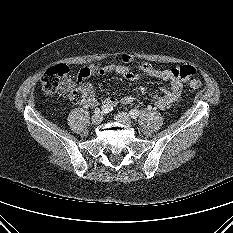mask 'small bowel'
<instances>
[{
  "label": "small bowel",
  "mask_w": 233,
  "mask_h": 233,
  "mask_svg": "<svg viewBox=\"0 0 233 233\" xmlns=\"http://www.w3.org/2000/svg\"><path fill=\"white\" fill-rule=\"evenodd\" d=\"M174 69H161L156 68L149 62H142L136 64L135 59L130 54L122 55L119 63L110 64H91L80 70L77 85L82 92L84 99L83 103L86 106L93 107L99 103V99L96 96L95 90L92 85L87 81L92 76H104L108 73H116L126 79L127 81H136L142 76H150L164 80L169 83L168 87H162L161 93L154 95L155 104L159 109L169 108L180 96L183 88L184 81L175 75ZM142 93L146 92L145 88H140ZM135 101L133 96H123L120 99L115 97H107L102 100L105 104L110 106H117L120 104H130Z\"/></svg>",
  "instance_id": "small-bowel-1"
}]
</instances>
